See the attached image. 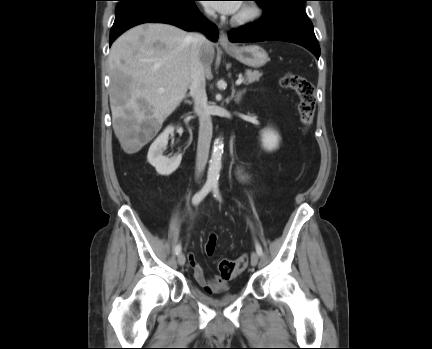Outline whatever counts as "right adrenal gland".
Returning <instances> with one entry per match:
<instances>
[{
    "mask_svg": "<svg viewBox=\"0 0 432 349\" xmlns=\"http://www.w3.org/2000/svg\"><path fill=\"white\" fill-rule=\"evenodd\" d=\"M185 103L192 104V102L190 100H185Z\"/></svg>",
    "mask_w": 432,
    "mask_h": 349,
    "instance_id": "2a0ac1e0",
    "label": "right adrenal gland"
}]
</instances>
